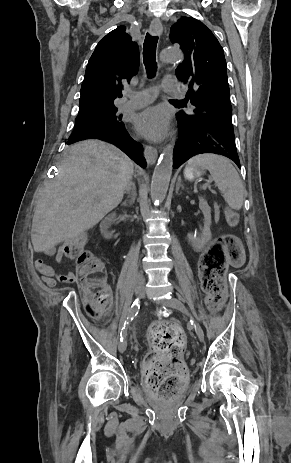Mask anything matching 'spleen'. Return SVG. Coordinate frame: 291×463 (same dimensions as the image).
<instances>
[{"mask_svg": "<svg viewBox=\"0 0 291 463\" xmlns=\"http://www.w3.org/2000/svg\"><path fill=\"white\" fill-rule=\"evenodd\" d=\"M188 165L208 169L216 186L223 193L225 202L234 210H240L244 203V185L231 162L215 154L197 155Z\"/></svg>", "mask_w": 291, "mask_h": 463, "instance_id": "spleen-1", "label": "spleen"}]
</instances>
